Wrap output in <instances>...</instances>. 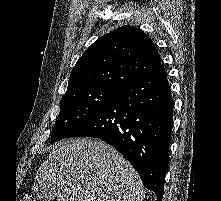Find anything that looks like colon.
Here are the masks:
<instances>
[{
	"instance_id": "1",
	"label": "colon",
	"mask_w": 221,
	"mask_h": 201,
	"mask_svg": "<svg viewBox=\"0 0 221 201\" xmlns=\"http://www.w3.org/2000/svg\"><path fill=\"white\" fill-rule=\"evenodd\" d=\"M21 201H36V199L31 195H24Z\"/></svg>"
}]
</instances>
